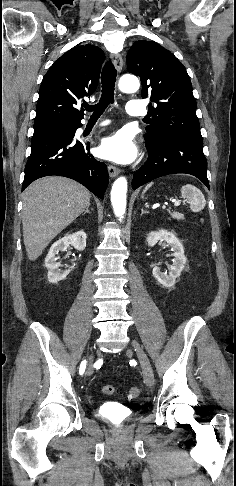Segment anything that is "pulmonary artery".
Listing matches in <instances>:
<instances>
[{"instance_id": "1", "label": "pulmonary artery", "mask_w": 236, "mask_h": 486, "mask_svg": "<svg viewBox=\"0 0 236 486\" xmlns=\"http://www.w3.org/2000/svg\"><path fill=\"white\" fill-rule=\"evenodd\" d=\"M127 113L131 116H143L145 114V109L142 103L138 100H131L127 103L126 107ZM106 122L100 123L96 125V127H100L106 125Z\"/></svg>"}]
</instances>
